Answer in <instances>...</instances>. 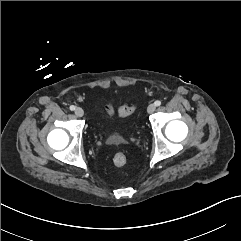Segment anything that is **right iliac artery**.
Instances as JSON below:
<instances>
[{"label": "right iliac artery", "mask_w": 241, "mask_h": 241, "mask_svg": "<svg viewBox=\"0 0 241 241\" xmlns=\"http://www.w3.org/2000/svg\"><path fill=\"white\" fill-rule=\"evenodd\" d=\"M70 110L74 111V110H75V106H74V105H71V106H70Z\"/></svg>", "instance_id": "1"}]
</instances>
